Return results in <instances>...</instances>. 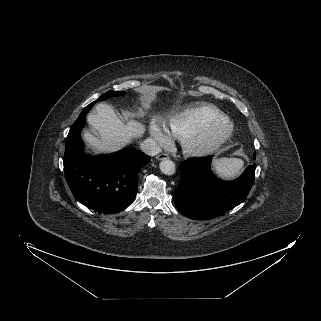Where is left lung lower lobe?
I'll list each match as a JSON object with an SVG mask.
<instances>
[{"label":"left lung lower lobe","instance_id":"left-lung-lower-lobe-1","mask_svg":"<svg viewBox=\"0 0 321 321\" xmlns=\"http://www.w3.org/2000/svg\"><path fill=\"white\" fill-rule=\"evenodd\" d=\"M211 161V157L192 158L181 166L174 203L191 219L206 220L224 214L242 203L253 185L255 164L249 165L239 178L222 181L213 175Z\"/></svg>","mask_w":321,"mask_h":321}]
</instances>
